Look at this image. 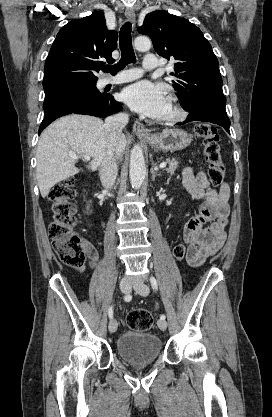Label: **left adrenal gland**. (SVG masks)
I'll use <instances>...</instances> for the list:
<instances>
[{"mask_svg": "<svg viewBox=\"0 0 272 417\" xmlns=\"http://www.w3.org/2000/svg\"><path fill=\"white\" fill-rule=\"evenodd\" d=\"M151 174H152V181L155 180V177L161 176V173H158L155 171V169L151 168Z\"/></svg>", "mask_w": 272, "mask_h": 417, "instance_id": "obj_1", "label": "left adrenal gland"}]
</instances>
